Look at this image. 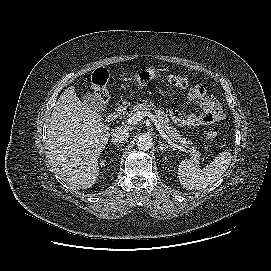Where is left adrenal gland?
<instances>
[{"mask_svg":"<svg viewBox=\"0 0 271 271\" xmlns=\"http://www.w3.org/2000/svg\"><path fill=\"white\" fill-rule=\"evenodd\" d=\"M159 146H160V150H161L162 152L167 151L168 148H169L168 145H165L164 143H162V142H160V141H159Z\"/></svg>","mask_w":271,"mask_h":271,"instance_id":"a2214340","label":"left adrenal gland"}]
</instances>
